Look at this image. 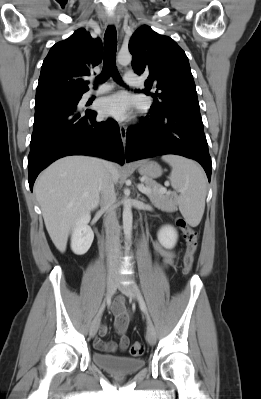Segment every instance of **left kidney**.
Masks as SVG:
<instances>
[{"label": "left kidney", "mask_w": 261, "mask_h": 399, "mask_svg": "<svg viewBox=\"0 0 261 399\" xmlns=\"http://www.w3.org/2000/svg\"><path fill=\"white\" fill-rule=\"evenodd\" d=\"M157 237L163 247L166 249H172L176 245L178 234L173 226L165 225L160 228Z\"/></svg>", "instance_id": "5707ae66"}]
</instances>
